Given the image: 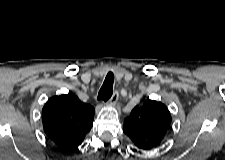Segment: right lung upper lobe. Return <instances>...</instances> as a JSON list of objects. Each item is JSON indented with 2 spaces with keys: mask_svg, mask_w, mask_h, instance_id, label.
Wrapping results in <instances>:
<instances>
[{
  "mask_svg": "<svg viewBox=\"0 0 225 160\" xmlns=\"http://www.w3.org/2000/svg\"><path fill=\"white\" fill-rule=\"evenodd\" d=\"M95 109L72 93L54 96L44 105V131L59 148L78 149L93 126Z\"/></svg>",
  "mask_w": 225,
  "mask_h": 160,
  "instance_id": "1",
  "label": "right lung upper lobe"
}]
</instances>
